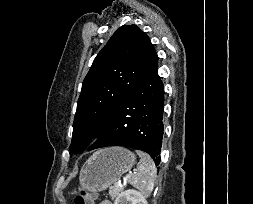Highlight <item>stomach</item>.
Instances as JSON below:
<instances>
[{"mask_svg":"<svg viewBox=\"0 0 253 204\" xmlns=\"http://www.w3.org/2000/svg\"><path fill=\"white\" fill-rule=\"evenodd\" d=\"M135 164V155L123 147L96 151L82 166L79 190L100 192L109 188Z\"/></svg>","mask_w":253,"mask_h":204,"instance_id":"0dacf381","label":"stomach"}]
</instances>
